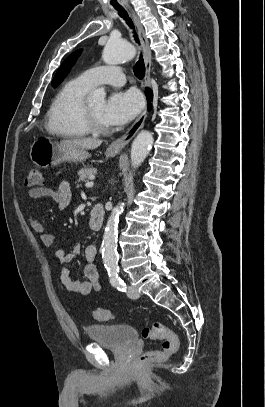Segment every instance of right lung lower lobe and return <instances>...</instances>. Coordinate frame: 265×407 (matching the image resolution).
Segmentation results:
<instances>
[{
    "label": "right lung lower lobe",
    "instance_id": "98d812e1",
    "mask_svg": "<svg viewBox=\"0 0 265 407\" xmlns=\"http://www.w3.org/2000/svg\"><path fill=\"white\" fill-rule=\"evenodd\" d=\"M146 95H147V99L148 101H152V92L147 88L146 89ZM148 106H150V103L148 104Z\"/></svg>",
    "mask_w": 265,
    "mask_h": 407
}]
</instances>
